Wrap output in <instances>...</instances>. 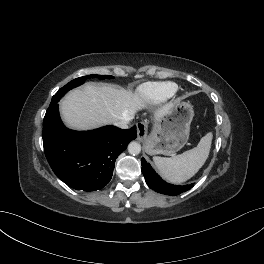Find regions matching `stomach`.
I'll list each match as a JSON object with an SVG mask.
<instances>
[{
    "label": "stomach",
    "mask_w": 264,
    "mask_h": 264,
    "mask_svg": "<svg viewBox=\"0 0 264 264\" xmlns=\"http://www.w3.org/2000/svg\"><path fill=\"white\" fill-rule=\"evenodd\" d=\"M193 107L187 102H175L169 111L158 118L152 133L145 141L148 154H173L188 141Z\"/></svg>",
    "instance_id": "stomach-1"
}]
</instances>
